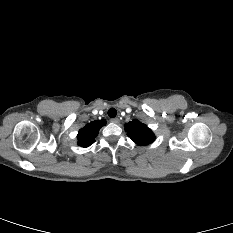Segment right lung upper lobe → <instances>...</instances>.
Instances as JSON below:
<instances>
[{
  "label": "right lung upper lobe",
  "mask_w": 233,
  "mask_h": 233,
  "mask_svg": "<svg viewBox=\"0 0 233 233\" xmlns=\"http://www.w3.org/2000/svg\"><path fill=\"white\" fill-rule=\"evenodd\" d=\"M106 124L105 120L93 121L79 130L77 135L78 145L88 147L95 142V137L98 135L99 129Z\"/></svg>",
  "instance_id": "1"
}]
</instances>
